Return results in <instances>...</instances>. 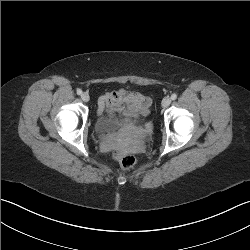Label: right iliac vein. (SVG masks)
Segmentation results:
<instances>
[{
  "mask_svg": "<svg viewBox=\"0 0 250 250\" xmlns=\"http://www.w3.org/2000/svg\"><path fill=\"white\" fill-rule=\"evenodd\" d=\"M81 99L84 101V102H88L90 100V96L88 93L84 92L81 94Z\"/></svg>",
  "mask_w": 250,
  "mask_h": 250,
  "instance_id": "obj_1",
  "label": "right iliac vein"
}]
</instances>
